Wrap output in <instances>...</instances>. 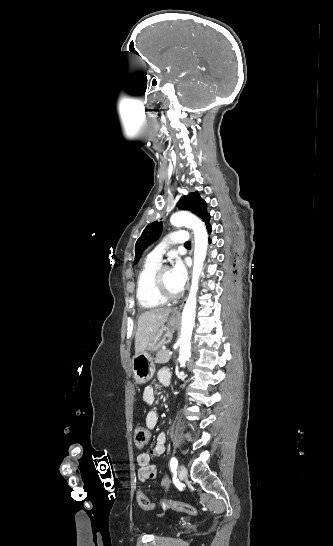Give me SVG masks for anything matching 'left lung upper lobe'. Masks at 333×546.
I'll list each match as a JSON object with an SVG mask.
<instances>
[{
  "label": "left lung upper lobe",
  "mask_w": 333,
  "mask_h": 546,
  "mask_svg": "<svg viewBox=\"0 0 333 546\" xmlns=\"http://www.w3.org/2000/svg\"><path fill=\"white\" fill-rule=\"evenodd\" d=\"M177 206L180 209L188 210L200 217L204 222L210 217L206 210V203L200 198L198 192L190 193L188 196H183ZM162 231V222L155 221L149 224L142 232L140 238L135 244V260L136 264L143 251L153 243Z\"/></svg>",
  "instance_id": "1"
}]
</instances>
